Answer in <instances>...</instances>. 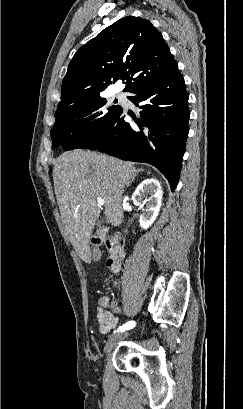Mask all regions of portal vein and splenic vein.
Here are the masks:
<instances>
[{
  "mask_svg": "<svg viewBox=\"0 0 243 409\" xmlns=\"http://www.w3.org/2000/svg\"><path fill=\"white\" fill-rule=\"evenodd\" d=\"M96 200H97V203H98L99 206H103V205H104V199H103V198L97 197Z\"/></svg>",
  "mask_w": 243,
  "mask_h": 409,
  "instance_id": "portal-vein-and-splenic-vein-1",
  "label": "portal vein and splenic vein"
}]
</instances>
